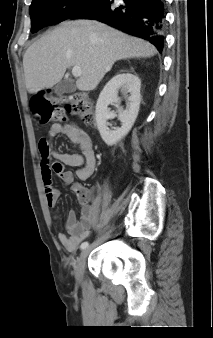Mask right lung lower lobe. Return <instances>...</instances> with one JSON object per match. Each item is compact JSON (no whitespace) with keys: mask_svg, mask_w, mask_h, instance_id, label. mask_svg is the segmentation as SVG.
<instances>
[{"mask_svg":"<svg viewBox=\"0 0 213 338\" xmlns=\"http://www.w3.org/2000/svg\"><path fill=\"white\" fill-rule=\"evenodd\" d=\"M71 19H94L151 42L163 50L164 0H95Z\"/></svg>","mask_w":213,"mask_h":338,"instance_id":"1","label":"right lung lower lobe"}]
</instances>
